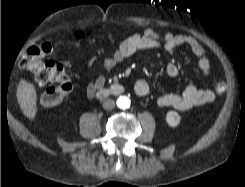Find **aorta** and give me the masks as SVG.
I'll return each mask as SVG.
<instances>
[{"mask_svg":"<svg viewBox=\"0 0 245 187\" xmlns=\"http://www.w3.org/2000/svg\"><path fill=\"white\" fill-rule=\"evenodd\" d=\"M117 106L121 109H127L130 107V99L126 96H120L117 99Z\"/></svg>","mask_w":245,"mask_h":187,"instance_id":"1","label":"aorta"}]
</instances>
